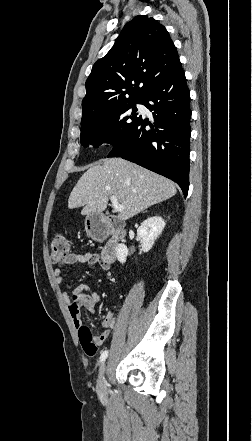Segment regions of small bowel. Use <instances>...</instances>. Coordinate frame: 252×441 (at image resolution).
I'll return each mask as SVG.
<instances>
[{
	"mask_svg": "<svg viewBox=\"0 0 252 441\" xmlns=\"http://www.w3.org/2000/svg\"><path fill=\"white\" fill-rule=\"evenodd\" d=\"M76 263H86L89 267H100L102 270H107L110 266L105 262L98 253L86 252L84 254L79 252L69 253L64 259L59 262L58 267L54 270L55 281L58 285L63 284L62 266L72 265ZM62 297L68 302V310L73 323L77 329L82 326L81 314L82 310H86L88 313H95V308L101 301V295L92 290L86 284H79L72 290H64ZM118 315L110 311L103 321V330L101 333L94 337V341L97 344L105 342L117 323Z\"/></svg>",
	"mask_w": 252,
	"mask_h": 441,
	"instance_id": "1",
	"label": "small bowel"
}]
</instances>
